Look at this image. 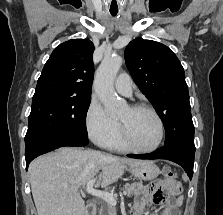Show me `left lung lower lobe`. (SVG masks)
I'll return each instance as SVG.
<instances>
[{
  "mask_svg": "<svg viewBox=\"0 0 223 215\" xmlns=\"http://www.w3.org/2000/svg\"><path fill=\"white\" fill-rule=\"evenodd\" d=\"M136 159H166L179 164L192 179L195 156L194 143H173L164 145L150 154L128 155Z\"/></svg>",
  "mask_w": 223,
  "mask_h": 215,
  "instance_id": "1",
  "label": "left lung lower lobe"
}]
</instances>
